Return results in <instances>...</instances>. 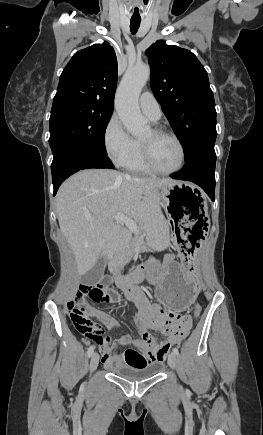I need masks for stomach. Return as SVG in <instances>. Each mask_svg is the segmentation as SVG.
Instances as JSON below:
<instances>
[{
    "instance_id": "stomach-1",
    "label": "stomach",
    "mask_w": 263,
    "mask_h": 435,
    "mask_svg": "<svg viewBox=\"0 0 263 435\" xmlns=\"http://www.w3.org/2000/svg\"><path fill=\"white\" fill-rule=\"evenodd\" d=\"M160 198L180 260L163 258L159 267L154 265L143 274V281L150 282L158 305H164L165 310H189L202 286L193 269L212 219L207 216L204 195L190 182L168 184L161 189Z\"/></svg>"
}]
</instances>
